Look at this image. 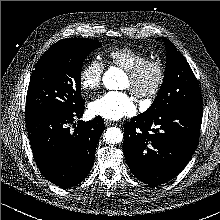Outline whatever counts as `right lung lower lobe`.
Here are the masks:
<instances>
[{"label": "right lung lower lobe", "mask_w": 220, "mask_h": 220, "mask_svg": "<svg viewBox=\"0 0 220 220\" xmlns=\"http://www.w3.org/2000/svg\"><path fill=\"white\" fill-rule=\"evenodd\" d=\"M84 112V104L73 111L41 109L26 112V127L35 162L53 184L70 188L90 173L104 120L78 124L73 121ZM73 124L74 129H70Z\"/></svg>", "instance_id": "obj_1"}]
</instances>
